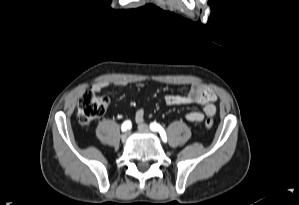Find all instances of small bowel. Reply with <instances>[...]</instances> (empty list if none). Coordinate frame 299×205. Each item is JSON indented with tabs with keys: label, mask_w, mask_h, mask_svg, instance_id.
Returning a JSON list of instances; mask_svg holds the SVG:
<instances>
[{
	"label": "small bowel",
	"mask_w": 299,
	"mask_h": 205,
	"mask_svg": "<svg viewBox=\"0 0 299 205\" xmlns=\"http://www.w3.org/2000/svg\"><path fill=\"white\" fill-rule=\"evenodd\" d=\"M106 82H98L92 86V90L100 92L107 87ZM139 87L144 89V85L140 84ZM164 101L167 105H188L198 104L203 107V111H191L186 115V118L190 122H202L207 117H212L216 113V101L217 95L215 92L201 84H193L186 94H167L164 97ZM145 117V111L140 108L136 111V122L140 123Z\"/></svg>",
	"instance_id": "small-bowel-1"
}]
</instances>
